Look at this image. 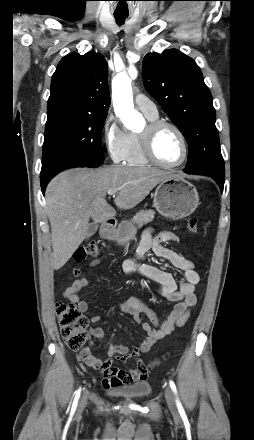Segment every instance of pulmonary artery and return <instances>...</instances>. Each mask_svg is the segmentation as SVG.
Returning <instances> with one entry per match:
<instances>
[{
  "mask_svg": "<svg viewBox=\"0 0 254 440\" xmlns=\"http://www.w3.org/2000/svg\"><path fill=\"white\" fill-rule=\"evenodd\" d=\"M135 105L145 115H149V116L158 115V111L155 103L143 94H137L135 96Z\"/></svg>",
  "mask_w": 254,
  "mask_h": 440,
  "instance_id": "obj_1",
  "label": "pulmonary artery"
}]
</instances>
